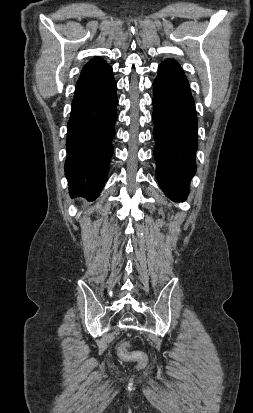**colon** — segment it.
I'll return each mask as SVG.
<instances>
[{"mask_svg": "<svg viewBox=\"0 0 253 413\" xmlns=\"http://www.w3.org/2000/svg\"><path fill=\"white\" fill-rule=\"evenodd\" d=\"M117 355L124 361H133L138 366L143 367L147 363V356L140 351H130V343L128 341L121 342L117 347Z\"/></svg>", "mask_w": 253, "mask_h": 413, "instance_id": "colon-1", "label": "colon"}]
</instances>
